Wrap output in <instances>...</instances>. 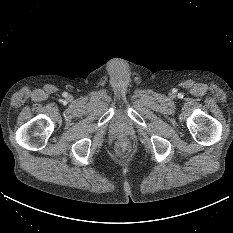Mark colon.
<instances>
[{
  "mask_svg": "<svg viewBox=\"0 0 233 233\" xmlns=\"http://www.w3.org/2000/svg\"><path fill=\"white\" fill-rule=\"evenodd\" d=\"M129 150H130L129 144L124 140L119 141L116 145V151L120 155L128 154Z\"/></svg>",
  "mask_w": 233,
  "mask_h": 233,
  "instance_id": "1",
  "label": "colon"
}]
</instances>
